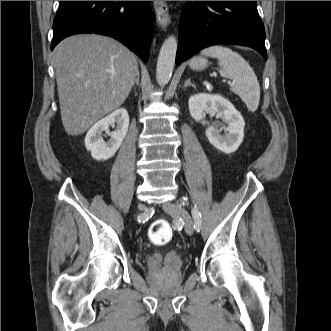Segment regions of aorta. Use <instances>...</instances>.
I'll use <instances>...</instances> for the list:
<instances>
[{"label":"aorta","mask_w":331,"mask_h":331,"mask_svg":"<svg viewBox=\"0 0 331 331\" xmlns=\"http://www.w3.org/2000/svg\"><path fill=\"white\" fill-rule=\"evenodd\" d=\"M177 51V39L175 36H169L163 43L156 68V79L160 85L169 82L175 65Z\"/></svg>","instance_id":"1"}]
</instances>
